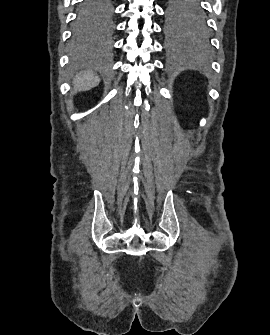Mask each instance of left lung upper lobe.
<instances>
[{
  "instance_id": "1",
  "label": "left lung upper lobe",
  "mask_w": 270,
  "mask_h": 335,
  "mask_svg": "<svg viewBox=\"0 0 270 335\" xmlns=\"http://www.w3.org/2000/svg\"><path fill=\"white\" fill-rule=\"evenodd\" d=\"M167 11V30L179 33L203 30L206 26L205 9L201 0H169Z\"/></svg>"
}]
</instances>
